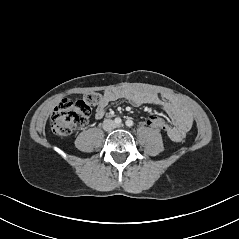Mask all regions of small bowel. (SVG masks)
Here are the masks:
<instances>
[{"mask_svg": "<svg viewBox=\"0 0 239 239\" xmlns=\"http://www.w3.org/2000/svg\"><path fill=\"white\" fill-rule=\"evenodd\" d=\"M117 99H127L135 106L149 104L163 109L172 122L165 133L174 142H180L193 124L192 115L176 97L132 87L105 91L96 106L95 117L101 119L106 113L108 104Z\"/></svg>", "mask_w": 239, "mask_h": 239, "instance_id": "1", "label": "small bowel"}]
</instances>
